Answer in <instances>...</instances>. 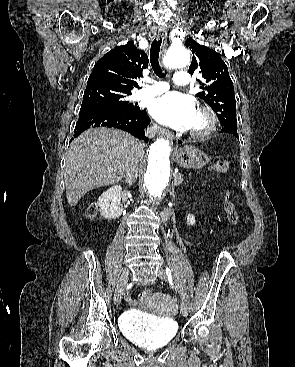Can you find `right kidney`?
Returning a JSON list of instances; mask_svg holds the SVG:
<instances>
[{
    "instance_id": "1",
    "label": "right kidney",
    "mask_w": 295,
    "mask_h": 367,
    "mask_svg": "<svg viewBox=\"0 0 295 367\" xmlns=\"http://www.w3.org/2000/svg\"><path fill=\"white\" fill-rule=\"evenodd\" d=\"M121 191V186L115 185L99 197L97 205L100 207V213L105 219L115 220L121 216L123 212Z\"/></svg>"
}]
</instances>
